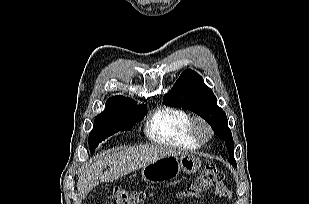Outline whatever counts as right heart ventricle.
Returning a JSON list of instances; mask_svg holds the SVG:
<instances>
[{"label":"right heart ventricle","instance_id":"1","mask_svg":"<svg viewBox=\"0 0 309 204\" xmlns=\"http://www.w3.org/2000/svg\"><path fill=\"white\" fill-rule=\"evenodd\" d=\"M190 115L176 107L158 108L146 125L148 137L159 144L195 149L200 146L189 131Z\"/></svg>","mask_w":309,"mask_h":204}]
</instances>
